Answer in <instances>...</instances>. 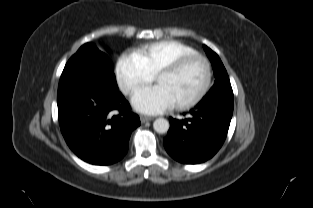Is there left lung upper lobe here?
<instances>
[{
    "instance_id": "left-lung-upper-lobe-1",
    "label": "left lung upper lobe",
    "mask_w": 313,
    "mask_h": 208,
    "mask_svg": "<svg viewBox=\"0 0 313 208\" xmlns=\"http://www.w3.org/2000/svg\"><path fill=\"white\" fill-rule=\"evenodd\" d=\"M204 49L212 63L214 76L216 78L215 83L213 87L210 89V91L208 92V94L218 93V92L233 93L227 71L225 67L223 66L220 58L215 52H213L210 48H208L205 45H204Z\"/></svg>"
}]
</instances>
